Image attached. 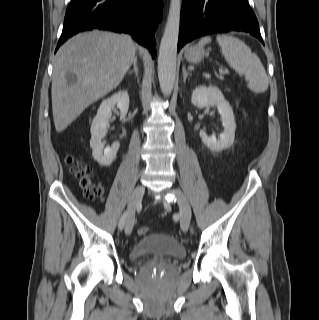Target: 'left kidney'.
<instances>
[{"label": "left kidney", "instance_id": "left-kidney-1", "mask_svg": "<svg viewBox=\"0 0 319 320\" xmlns=\"http://www.w3.org/2000/svg\"><path fill=\"white\" fill-rule=\"evenodd\" d=\"M191 102L198 108L216 106L221 115L224 131L220 134V139L208 136L204 130L199 135L203 143L214 152H221L229 148L235 138L236 124L231 106L225 100L221 90L215 86H198L192 92Z\"/></svg>", "mask_w": 319, "mask_h": 320}]
</instances>
